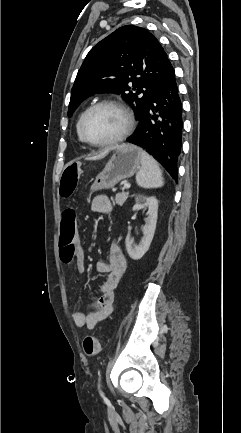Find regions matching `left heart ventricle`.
<instances>
[{"label":"left heart ventricle","instance_id":"b2bd125f","mask_svg":"<svg viewBox=\"0 0 241 433\" xmlns=\"http://www.w3.org/2000/svg\"><path fill=\"white\" fill-rule=\"evenodd\" d=\"M124 128L123 115L113 107H100L92 111L84 124V134L92 142H105L115 138Z\"/></svg>","mask_w":241,"mask_h":433}]
</instances>
